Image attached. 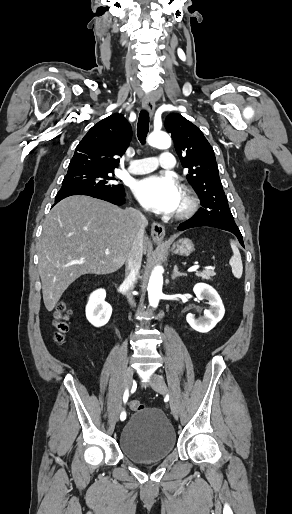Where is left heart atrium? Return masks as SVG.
<instances>
[{
	"label": "left heart atrium",
	"instance_id": "39dd6f15",
	"mask_svg": "<svg viewBox=\"0 0 292 514\" xmlns=\"http://www.w3.org/2000/svg\"><path fill=\"white\" fill-rule=\"evenodd\" d=\"M134 194L144 208L157 213L175 211L181 199L180 187L169 174L151 175L138 181Z\"/></svg>",
	"mask_w": 292,
	"mask_h": 514
}]
</instances>
